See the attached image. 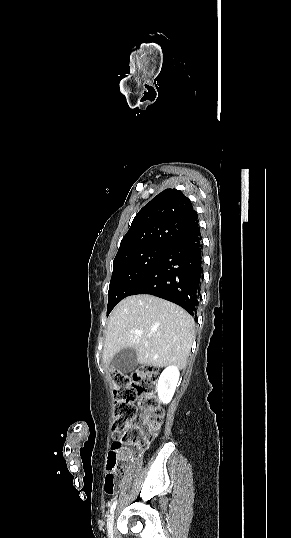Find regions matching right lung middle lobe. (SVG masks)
<instances>
[{"label":"right lung middle lobe","instance_id":"right-lung-middle-lobe-1","mask_svg":"<svg viewBox=\"0 0 291 538\" xmlns=\"http://www.w3.org/2000/svg\"><path fill=\"white\" fill-rule=\"evenodd\" d=\"M170 248L164 245H148L115 257L108 291L107 316L118 302L131 294Z\"/></svg>","mask_w":291,"mask_h":538}]
</instances>
